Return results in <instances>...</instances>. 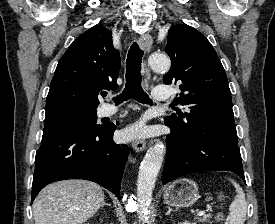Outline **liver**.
<instances>
[{
  "mask_svg": "<svg viewBox=\"0 0 275 224\" xmlns=\"http://www.w3.org/2000/svg\"><path fill=\"white\" fill-rule=\"evenodd\" d=\"M104 199L102 188L90 181L49 184L33 203L35 224H83L98 211Z\"/></svg>",
  "mask_w": 275,
  "mask_h": 224,
  "instance_id": "liver-1",
  "label": "liver"
}]
</instances>
